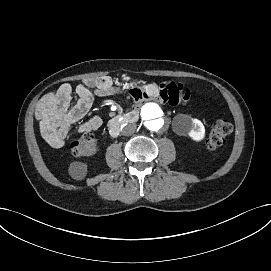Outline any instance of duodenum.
Masks as SVG:
<instances>
[{"label":"duodenum","instance_id":"1","mask_svg":"<svg viewBox=\"0 0 271 271\" xmlns=\"http://www.w3.org/2000/svg\"><path fill=\"white\" fill-rule=\"evenodd\" d=\"M139 118V112L137 110H133L130 112H127L123 114L121 117L115 119L111 124H110V134L113 137H116L120 133L121 126L125 123H135Z\"/></svg>","mask_w":271,"mask_h":271}]
</instances>
